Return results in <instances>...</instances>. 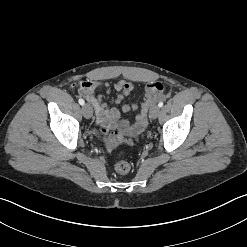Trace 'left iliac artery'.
Instances as JSON below:
<instances>
[{"mask_svg":"<svg viewBox=\"0 0 247 247\" xmlns=\"http://www.w3.org/2000/svg\"><path fill=\"white\" fill-rule=\"evenodd\" d=\"M158 106L162 107L163 106V102H159Z\"/></svg>","mask_w":247,"mask_h":247,"instance_id":"1","label":"left iliac artery"}]
</instances>
